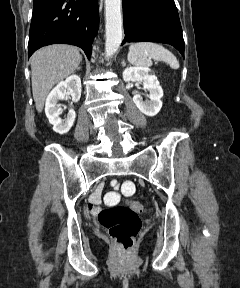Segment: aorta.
I'll return each mask as SVG.
<instances>
[{"label":"aorta","mask_w":240,"mask_h":288,"mask_svg":"<svg viewBox=\"0 0 240 288\" xmlns=\"http://www.w3.org/2000/svg\"><path fill=\"white\" fill-rule=\"evenodd\" d=\"M121 4L122 0H105V54L107 57L117 51L123 39Z\"/></svg>","instance_id":"aorta-1"}]
</instances>
